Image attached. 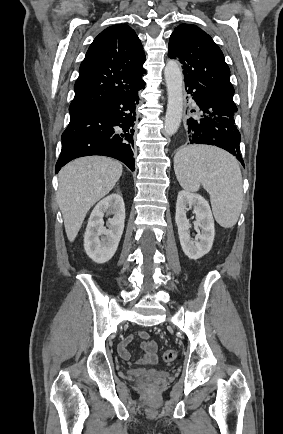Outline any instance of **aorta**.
<instances>
[{"label":"aorta","mask_w":283,"mask_h":434,"mask_svg":"<svg viewBox=\"0 0 283 434\" xmlns=\"http://www.w3.org/2000/svg\"><path fill=\"white\" fill-rule=\"evenodd\" d=\"M164 76L168 95L164 130L171 136L177 132L183 112V74L177 61L167 62Z\"/></svg>","instance_id":"762f6f07"}]
</instances>
